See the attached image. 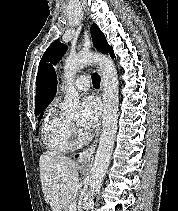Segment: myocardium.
Here are the masks:
<instances>
[{"mask_svg": "<svg viewBox=\"0 0 178 211\" xmlns=\"http://www.w3.org/2000/svg\"><path fill=\"white\" fill-rule=\"evenodd\" d=\"M73 129H75V128H73ZM73 133L74 134H73L72 138L70 139L72 146H74V147L82 146L86 142V138L82 137L77 130H74Z\"/></svg>", "mask_w": 178, "mask_h": 211, "instance_id": "obj_1", "label": "myocardium"}]
</instances>
